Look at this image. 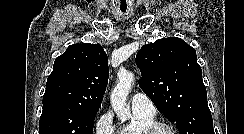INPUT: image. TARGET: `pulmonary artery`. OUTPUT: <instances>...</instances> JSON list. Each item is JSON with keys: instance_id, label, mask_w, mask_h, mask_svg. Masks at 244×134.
Returning <instances> with one entry per match:
<instances>
[{"instance_id": "1", "label": "pulmonary artery", "mask_w": 244, "mask_h": 134, "mask_svg": "<svg viewBox=\"0 0 244 134\" xmlns=\"http://www.w3.org/2000/svg\"><path fill=\"white\" fill-rule=\"evenodd\" d=\"M130 104L133 112H139L149 116H154L156 113L154 104L143 93H135L130 99Z\"/></svg>"}]
</instances>
